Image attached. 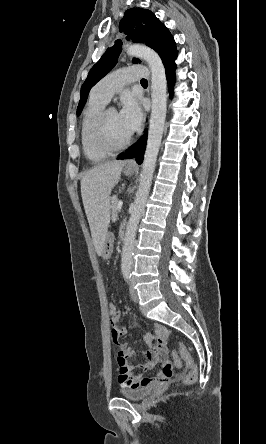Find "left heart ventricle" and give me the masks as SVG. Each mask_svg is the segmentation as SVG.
<instances>
[{"mask_svg": "<svg viewBox=\"0 0 266 444\" xmlns=\"http://www.w3.org/2000/svg\"><path fill=\"white\" fill-rule=\"evenodd\" d=\"M129 135L130 133L120 120L119 113L116 111L109 112L101 128V139L110 145H119Z\"/></svg>", "mask_w": 266, "mask_h": 444, "instance_id": "1", "label": "left heart ventricle"}]
</instances>
